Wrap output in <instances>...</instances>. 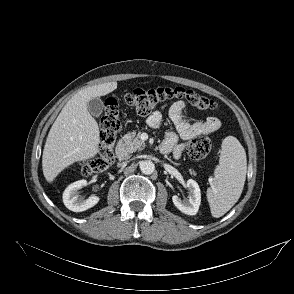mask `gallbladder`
Returning <instances> with one entry per match:
<instances>
[{"mask_svg":"<svg viewBox=\"0 0 294 294\" xmlns=\"http://www.w3.org/2000/svg\"><path fill=\"white\" fill-rule=\"evenodd\" d=\"M103 101L96 97L87 102V109L89 113L94 117H99L103 111Z\"/></svg>","mask_w":294,"mask_h":294,"instance_id":"obj_1","label":"gallbladder"}]
</instances>
